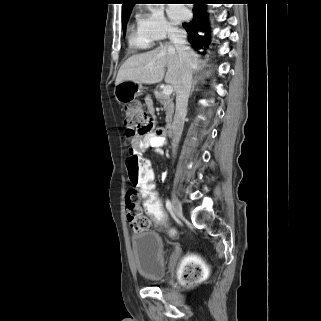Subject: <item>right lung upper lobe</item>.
Instances as JSON below:
<instances>
[{
	"label": "right lung upper lobe",
	"instance_id": "1",
	"mask_svg": "<svg viewBox=\"0 0 321 321\" xmlns=\"http://www.w3.org/2000/svg\"><path fill=\"white\" fill-rule=\"evenodd\" d=\"M122 15H124L127 12H131L132 7L134 6L135 3L139 0H122Z\"/></svg>",
	"mask_w": 321,
	"mask_h": 321
}]
</instances>
